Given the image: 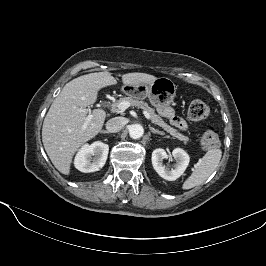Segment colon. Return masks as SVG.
Masks as SVG:
<instances>
[{"label":"colon","instance_id":"5ec220e1","mask_svg":"<svg viewBox=\"0 0 266 266\" xmlns=\"http://www.w3.org/2000/svg\"><path fill=\"white\" fill-rule=\"evenodd\" d=\"M210 109L202 100L195 99L188 106V117L193 121H203L209 117ZM220 145V136L216 128H207L201 138L200 146L203 150H211Z\"/></svg>","mask_w":266,"mask_h":266}]
</instances>
